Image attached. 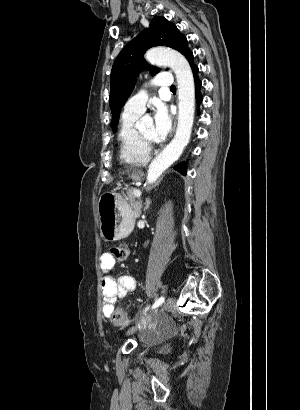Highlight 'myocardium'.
Listing matches in <instances>:
<instances>
[{
  "instance_id": "obj_1",
  "label": "myocardium",
  "mask_w": 300,
  "mask_h": 410,
  "mask_svg": "<svg viewBox=\"0 0 300 410\" xmlns=\"http://www.w3.org/2000/svg\"><path fill=\"white\" fill-rule=\"evenodd\" d=\"M138 133H139V136H140L142 142H143L146 146L150 147V146L153 145V140H152V139L147 138L141 131H138Z\"/></svg>"
}]
</instances>
